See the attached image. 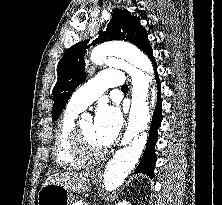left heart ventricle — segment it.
<instances>
[{"label": "left heart ventricle", "instance_id": "left-heart-ventricle-1", "mask_svg": "<svg viewBox=\"0 0 222 205\" xmlns=\"http://www.w3.org/2000/svg\"><path fill=\"white\" fill-rule=\"evenodd\" d=\"M80 129L87 145L94 151L103 149L98 144L94 135L93 122L91 120H85L80 123Z\"/></svg>", "mask_w": 222, "mask_h": 205}]
</instances>
